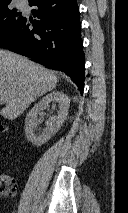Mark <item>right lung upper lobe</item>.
Instances as JSON below:
<instances>
[{
    "mask_svg": "<svg viewBox=\"0 0 128 213\" xmlns=\"http://www.w3.org/2000/svg\"><path fill=\"white\" fill-rule=\"evenodd\" d=\"M12 0H0V6H4V5H8L10 4ZM29 2H31L32 0H28Z\"/></svg>",
    "mask_w": 128,
    "mask_h": 213,
    "instance_id": "right-lung-upper-lobe-1",
    "label": "right lung upper lobe"
}]
</instances>
